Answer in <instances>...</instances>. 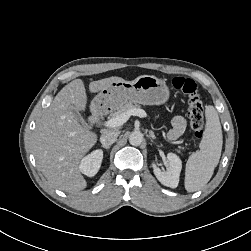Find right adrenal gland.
<instances>
[{
    "label": "right adrenal gland",
    "mask_w": 251,
    "mask_h": 251,
    "mask_svg": "<svg viewBox=\"0 0 251 251\" xmlns=\"http://www.w3.org/2000/svg\"><path fill=\"white\" fill-rule=\"evenodd\" d=\"M102 148L109 149L110 147L109 146H102Z\"/></svg>",
    "instance_id": "obj_1"
}]
</instances>
